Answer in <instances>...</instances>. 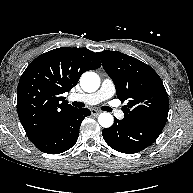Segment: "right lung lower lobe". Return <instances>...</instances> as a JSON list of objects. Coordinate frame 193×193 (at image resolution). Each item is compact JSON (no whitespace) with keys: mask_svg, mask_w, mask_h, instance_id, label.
I'll return each mask as SVG.
<instances>
[{"mask_svg":"<svg viewBox=\"0 0 193 193\" xmlns=\"http://www.w3.org/2000/svg\"><path fill=\"white\" fill-rule=\"evenodd\" d=\"M90 114L89 109H76L57 123L46 135L32 143L44 153L59 154L65 152L76 143L81 122Z\"/></svg>","mask_w":193,"mask_h":193,"instance_id":"98d812e1","label":"right lung lower lobe"}]
</instances>
